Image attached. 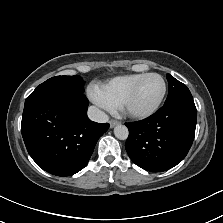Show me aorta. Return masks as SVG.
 I'll return each mask as SVG.
<instances>
[{"mask_svg":"<svg viewBox=\"0 0 223 223\" xmlns=\"http://www.w3.org/2000/svg\"><path fill=\"white\" fill-rule=\"evenodd\" d=\"M114 135L118 138V139H126L128 136V129L125 125L123 124H118L114 127L113 129Z\"/></svg>","mask_w":223,"mask_h":223,"instance_id":"762f6f07","label":"aorta"}]
</instances>
